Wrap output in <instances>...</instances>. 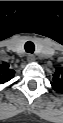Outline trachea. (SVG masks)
I'll use <instances>...</instances> for the list:
<instances>
[{
	"mask_svg": "<svg viewBox=\"0 0 63 123\" xmlns=\"http://www.w3.org/2000/svg\"><path fill=\"white\" fill-rule=\"evenodd\" d=\"M24 48H25V51H26L27 53L32 54V53L34 52V50H35V45H34V43L31 42V41H27V42L25 43Z\"/></svg>",
	"mask_w": 63,
	"mask_h": 123,
	"instance_id": "obj_1",
	"label": "trachea"
}]
</instances>
